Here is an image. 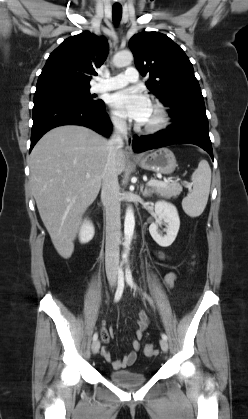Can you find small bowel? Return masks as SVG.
I'll use <instances>...</instances> for the list:
<instances>
[{
	"instance_id": "obj_1",
	"label": "small bowel",
	"mask_w": 248,
	"mask_h": 419,
	"mask_svg": "<svg viewBox=\"0 0 248 419\" xmlns=\"http://www.w3.org/2000/svg\"><path fill=\"white\" fill-rule=\"evenodd\" d=\"M158 256L161 259H165L167 256L162 253L159 252ZM176 280V275L173 272H169L166 274L165 276V282L167 283V285L172 286L174 284ZM137 325L138 328L135 332V338L132 341V350L130 352H128L122 359L119 360H112L111 359V354L110 351L108 350V348L103 347L101 350V354L102 356L107 360L111 362V365L113 367V369L115 370H119V369H123L127 366H131L134 364V362L137 359V353L139 352V350L141 349V339L144 336V332L146 331V329L148 328L149 325V316L144 312V311H139L137 314ZM104 331V341L108 342L111 338L114 337V330L111 328H103Z\"/></svg>"
}]
</instances>
